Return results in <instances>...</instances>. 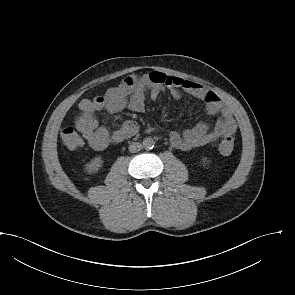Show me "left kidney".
I'll return each mask as SVG.
<instances>
[{
	"label": "left kidney",
	"instance_id": "obj_1",
	"mask_svg": "<svg viewBox=\"0 0 295 295\" xmlns=\"http://www.w3.org/2000/svg\"><path fill=\"white\" fill-rule=\"evenodd\" d=\"M202 161H203V163L208 162V161H207V158H203Z\"/></svg>",
	"mask_w": 295,
	"mask_h": 295
}]
</instances>
